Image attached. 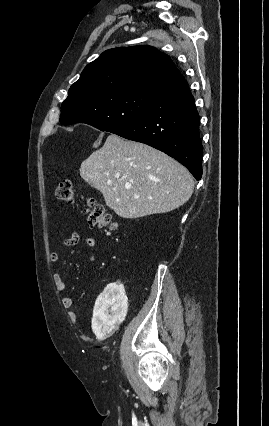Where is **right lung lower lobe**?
Returning a JSON list of instances; mask_svg holds the SVG:
<instances>
[{"label":"right lung lower lobe","mask_w":269,"mask_h":426,"mask_svg":"<svg viewBox=\"0 0 269 426\" xmlns=\"http://www.w3.org/2000/svg\"><path fill=\"white\" fill-rule=\"evenodd\" d=\"M112 133L166 153L183 164L196 180L201 179L199 115L186 80L162 88L141 117Z\"/></svg>","instance_id":"1"}]
</instances>
